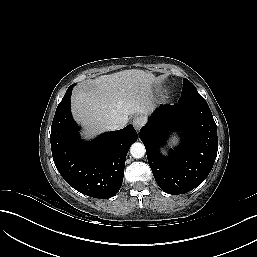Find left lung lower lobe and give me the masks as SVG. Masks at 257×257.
<instances>
[{"instance_id":"obj_1","label":"left lung lower lobe","mask_w":257,"mask_h":257,"mask_svg":"<svg viewBox=\"0 0 257 257\" xmlns=\"http://www.w3.org/2000/svg\"><path fill=\"white\" fill-rule=\"evenodd\" d=\"M173 131L179 132L181 143L164 156L160 148ZM140 139L157 184L173 195L200 185L217 156V126L207 103L161 105L141 128Z\"/></svg>"}]
</instances>
